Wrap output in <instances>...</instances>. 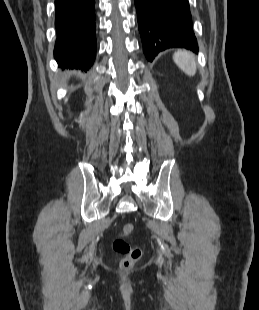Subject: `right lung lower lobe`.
Listing matches in <instances>:
<instances>
[{
	"label": "right lung lower lobe",
	"instance_id": "98d812e1",
	"mask_svg": "<svg viewBox=\"0 0 259 310\" xmlns=\"http://www.w3.org/2000/svg\"><path fill=\"white\" fill-rule=\"evenodd\" d=\"M94 0H55L54 58L64 68L89 69L96 55Z\"/></svg>",
	"mask_w": 259,
	"mask_h": 310
}]
</instances>
